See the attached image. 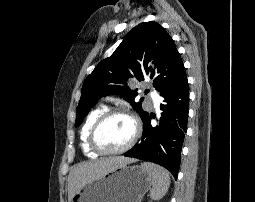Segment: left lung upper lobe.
I'll return each mask as SVG.
<instances>
[{"mask_svg":"<svg viewBox=\"0 0 255 202\" xmlns=\"http://www.w3.org/2000/svg\"><path fill=\"white\" fill-rule=\"evenodd\" d=\"M183 73L184 65L171 36L156 22L140 23L86 78L76 108L75 126L99 98L109 94H122L143 120L148 113L142 109L141 102L134 101L138 93L126 86L128 78L135 76L141 81L148 76L162 94L176 84Z\"/></svg>","mask_w":255,"mask_h":202,"instance_id":"left-lung-upper-lobe-1","label":"left lung upper lobe"}]
</instances>
